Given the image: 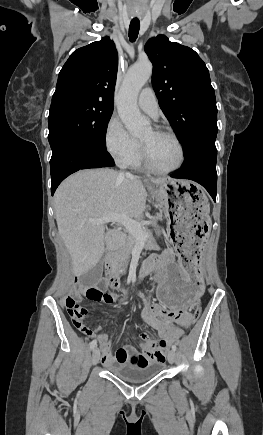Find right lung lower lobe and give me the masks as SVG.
Masks as SVG:
<instances>
[{"instance_id":"98d812e1","label":"right lung lower lobe","mask_w":263,"mask_h":435,"mask_svg":"<svg viewBox=\"0 0 263 435\" xmlns=\"http://www.w3.org/2000/svg\"><path fill=\"white\" fill-rule=\"evenodd\" d=\"M114 166V160L106 148L101 149L92 145L68 141L63 142L50 160L51 193L54 194L58 185L70 174L88 168Z\"/></svg>"}]
</instances>
